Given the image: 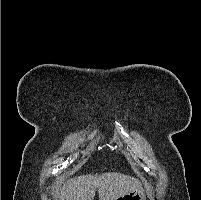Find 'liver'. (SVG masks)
<instances>
[{
	"label": "liver",
	"mask_w": 201,
	"mask_h": 200,
	"mask_svg": "<svg viewBox=\"0 0 201 200\" xmlns=\"http://www.w3.org/2000/svg\"><path fill=\"white\" fill-rule=\"evenodd\" d=\"M140 187L138 179L122 173L89 174L71 178L58 193L57 200H94L96 189L100 200H116Z\"/></svg>",
	"instance_id": "obj_1"
}]
</instances>
